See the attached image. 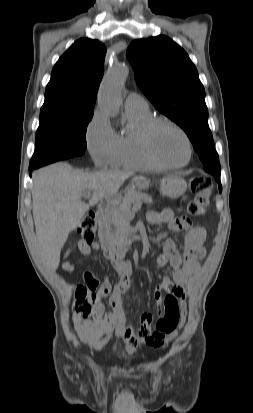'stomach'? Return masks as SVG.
Segmentation results:
<instances>
[{
	"instance_id": "1",
	"label": "stomach",
	"mask_w": 253,
	"mask_h": 413,
	"mask_svg": "<svg viewBox=\"0 0 253 413\" xmlns=\"http://www.w3.org/2000/svg\"><path fill=\"white\" fill-rule=\"evenodd\" d=\"M150 182L147 178L143 176L136 177L132 180L129 189L137 188L140 190H145L149 187ZM187 189L186 181L178 175H170L162 179L160 184V191L163 195L175 199L182 196ZM121 194H117L108 198L110 203L118 202L121 199Z\"/></svg>"
}]
</instances>
